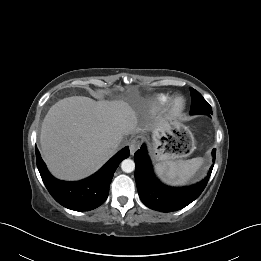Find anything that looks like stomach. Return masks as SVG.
Segmentation results:
<instances>
[{
    "label": "stomach",
    "instance_id": "stomach-1",
    "mask_svg": "<svg viewBox=\"0 0 261 261\" xmlns=\"http://www.w3.org/2000/svg\"><path fill=\"white\" fill-rule=\"evenodd\" d=\"M150 148L155 161H172L189 156L195 148V140L188 127L166 118L153 130Z\"/></svg>",
    "mask_w": 261,
    "mask_h": 261
}]
</instances>
